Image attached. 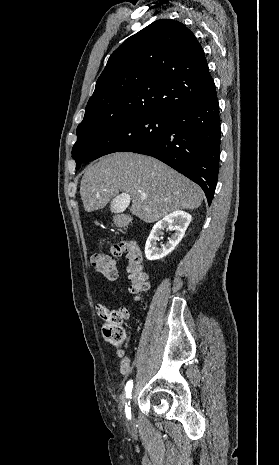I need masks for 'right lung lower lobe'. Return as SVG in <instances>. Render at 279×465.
<instances>
[{
	"mask_svg": "<svg viewBox=\"0 0 279 465\" xmlns=\"http://www.w3.org/2000/svg\"><path fill=\"white\" fill-rule=\"evenodd\" d=\"M165 132L130 151L149 155L196 182L212 202L220 161V114L214 82L201 99L172 110Z\"/></svg>",
	"mask_w": 279,
	"mask_h": 465,
	"instance_id": "obj_1",
	"label": "right lung lower lobe"
}]
</instances>
